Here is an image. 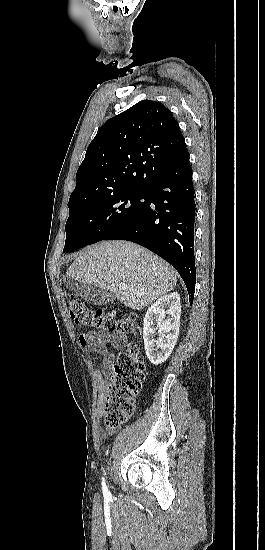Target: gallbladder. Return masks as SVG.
<instances>
[{"instance_id":"bac80fb5","label":"gallbladder","mask_w":265,"mask_h":550,"mask_svg":"<svg viewBox=\"0 0 265 550\" xmlns=\"http://www.w3.org/2000/svg\"><path fill=\"white\" fill-rule=\"evenodd\" d=\"M65 284L68 289L76 292L82 299L94 305H104L108 301L114 300V296L111 293H108L107 290L88 284L78 285L71 278H68L65 281Z\"/></svg>"}]
</instances>
